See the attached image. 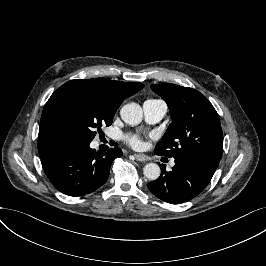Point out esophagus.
Returning <instances> with one entry per match:
<instances>
[{
  "label": "esophagus",
  "mask_w": 266,
  "mask_h": 266,
  "mask_svg": "<svg viewBox=\"0 0 266 266\" xmlns=\"http://www.w3.org/2000/svg\"><path fill=\"white\" fill-rule=\"evenodd\" d=\"M134 157H135L136 161H139V162L147 161V157L145 155H143V154L135 153Z\"/></svg>",
  "instance_id": "esophagus-1"
}]
</instances>
